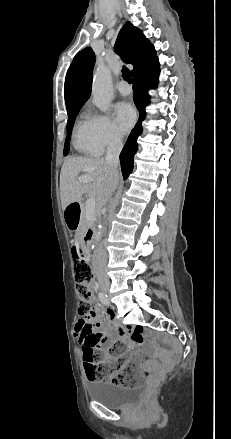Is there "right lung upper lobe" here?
Wrapping results in <instances>:
<instances>
[{
	"label": "right lung upper lobe",
	"mask_w": 231,
	"mask_h": 439,
	"mask_svg": "<svg viewBox=\"0 0 231 439\" xmlns=\"http://www.w3.org/2000/svg\"><path fill=\"white\" fill-rule=\"evenodd\" d=\"M114 48L126 63L133 65V75L157 59L154 46L142 31L130 22L120 30ZM94 63L95 54L90 47L74 57L67 71L64 86L67 110L83 106L90 97Z\"/></svg>",
	"instance_id": "right-lung-upper-lobe-1"
}]
</instances>
